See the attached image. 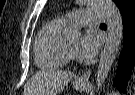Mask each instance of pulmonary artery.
Masks as SVG:
<instances>
[{"label": "pulmonary artery", "mask_w": 135, "mask_h": 95, "mask_svg": "<svg viewBox=\"0 0 135 95\" xmlns=\"http://www.w3.org/2000/svg\"><path fill=\"white\" fill-rule=\"evenodd\" d=\"M106 15L101 10H75L66 15L61 19L67 26H83L87 24H100L104 22Z\"/></svg>", "instance_id": "e3ab8cb5"}]
</instances>
